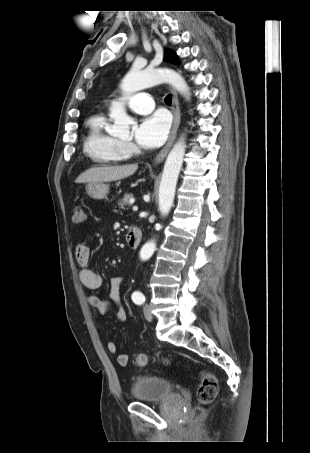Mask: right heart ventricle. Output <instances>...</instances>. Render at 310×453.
<instances>
[{"label":"right heart ventricle","instance_id":"obj_1","mask_svg":"<svg viewBox=\"0 0 310 453\" xmlns=\"http://www.w3.org/2000/svg\"><path fill=\"white\" fill-rule=\"evenodd\" d=\"M86 126L83 148L93 162L111 165L127 159L128 154L123 142L107 131V119L103 114L98 113L89 117Z\"/></svg>","mask_w":310,"mask_h":453}]
</instances>
